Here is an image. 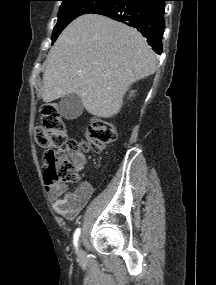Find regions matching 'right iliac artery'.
Instances as JSON below:
<instances>
[{
	"mask_svg": "<svg viewBox=\"0 0 216 285\" xmlns=\"http://www.w3.org/2000/svg\"><path fill=\"white\" fill-rule=\"evenodd\" d=\"M80 228H77L74 233V246L77 247L78 238L80 236Z\"/></svg>",
	"mask_w": 216,
	"mask_h": 285,
	"instance_id": "82829eb1",
	"label": "right iliac artery"
}]
</instances>
